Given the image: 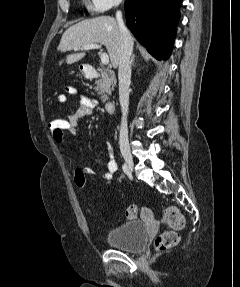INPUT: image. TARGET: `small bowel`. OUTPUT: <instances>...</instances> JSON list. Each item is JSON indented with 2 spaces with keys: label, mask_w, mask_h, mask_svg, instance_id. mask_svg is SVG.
<instances>
[{
  "label": "small bowel",
  "mask_w": 240,
  "mask_h": 287,
  "mask_svg": "<svg viewBox=\"0 0 240 287\" xmlns=\"http://www.w3.org/2000/svg\"><path fill=\"white\" fill-rule=\"evenodd\" d=\"M65 91H66V94L61 93L57 95L56 99L59 103L65 104L68 100L67 95L76 97L79 102V107L77 108V110L67 117L69 127L66 131V134L75 135L77 133L79 121L82 118L90 115L97 107L98 102L96 99L92 97L80 94L77 91V89H75L72 86H67L65 88ZM65 135L62 139L54 138V140L59 144H63L65 140ZM106 156H107L106 170L104 171L102 177L104 180H111L114 174L116 173L118 166H117V163L114 157L113 146L110 143L106 144ZM77 170H80L84 174H87V175L95 174V171L90 167H79L77 168ZM141 216L144 219H151L152 212L149 208L144 207L141 209Z\"/></svg>",
  "instance_id": "obj_1"
}]
</instances>
